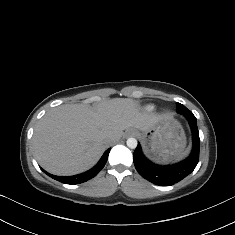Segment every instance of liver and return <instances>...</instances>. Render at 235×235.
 I'll use <instances>...</instances> for the list:
<instances>
[{
    "mask_svg": "<svg viewBox=\"0 0 235 235\" xmlns=\"http://www.w3.org/2000/svg\"><path fill=\"white\" fill-rule=\"evenodd\" d=\"M166 116L141 113L138 103L116 98L96 108L84 104L62 105L38 122L33 149L39 164L56 175H72L93 166L111 139L131 128L146 131Z\"/></svg>",
    "mask_w": 235,
    "mask_h": 235,
    "instance_id": "6515ba94",
    "label": "liver"
}]
</instances>
